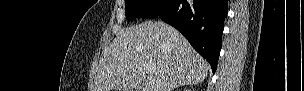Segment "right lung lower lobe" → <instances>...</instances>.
I'll list each match as a JSON object with an SVG mask.
<instances>
[{
    "label": "right lung lower lobe",
    "mask_w": 304,
    "mask_h": 91,
    "mask_svg": "<svg viewBox=\"0 0 304 91\" xmlns=\"http://www.w3.org/2000/svg\"><path fill=\"white\" fill-rule=\"evenodd\" d=\"M228 0H169L159 16L180 31L193 48L217 69Z\"/></svg>",
    "instance_id": "obj_1"
}]
</instances>
